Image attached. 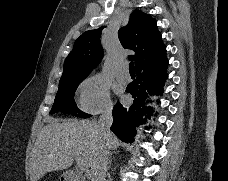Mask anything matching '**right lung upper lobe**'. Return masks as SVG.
I'll return each instance as SVG.
<instances>
[{"mask_svg":"<svg viewBox=\"0 0 228 181\" xmlns=\"http://www.w3.org/2000/svg\"><path fill=\"white\" fill-rule=\"evenodd\" d=\"M102 29L86 31L76 40L65 60L59 83L83 80L100 62L103 57ZM118 36L124 48L135 51L136 54L129 58L136 66L164 47L156 20L140 10L131 13L128 24L118 31Z\"/></svg>","mask_w":228,"mask_h":181,"instance_id":"1","label":"right lung upper lobe"}]
</instances>
